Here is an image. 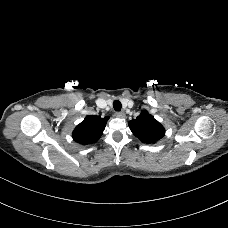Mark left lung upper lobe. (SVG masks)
Segmentation results:
<instances>
[{"label":"left lung upper lobe","instance_id":"left-lung-upper-lobe-1","mask_svg":"<svg viewBox=\"0 0 228 228\" xmlns=\"http://www.w3.org/2000/svg\"><path fill=\"white\" fill-rule=\"evenodd\" d=\"M129 127L143 143H155L165 135L164 127L145 110L129 122Z\"/></svg>","mask_w":228,"mask_h":228}]
</instances>
